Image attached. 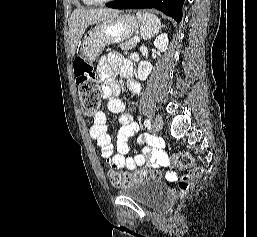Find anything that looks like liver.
<instances>
[{"label": "liver", "mask_w": 257, "mask_h": 237, "mask_svg": "<svg viewBox=\"0 0 257 237\" xmlns=\"http://www.w3.org/2000/svg\"><path fill=\"white\" fill-rule=\"evenodd\" d=\"M117 12L114 9H75L69 23L71 55L74 56L77 46L89 25L106 20Z\"/></svg>", "instance_id": "obj_1"}]
</instances>
